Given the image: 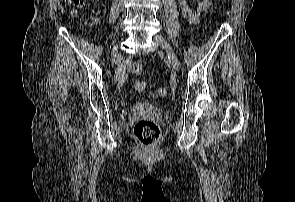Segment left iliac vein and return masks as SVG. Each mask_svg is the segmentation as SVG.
Here are the masks:
<instances>
[{
    "instance_id": "obj_1",
    "label": "left iliac vein",
    "mask_w": 295,
    "mask_h": 202,
    "mask_svg": "<svg viewBox=\"0 0 295 202\" xmlns=\"http://www.w3.org/2000/svg\"><path fill=\"white\" fill-rule=\"evenodd\" d=\"M154 40L156 41V43L161 46L163 49H165V51L167 52L168 58L170 60L171 66L175 71H179L180 70V61L176 55V53L174 52L172 46L170 45V43L161 35H157L154 37Z\"/></svg>"
}]
</instances>
